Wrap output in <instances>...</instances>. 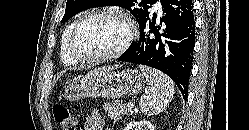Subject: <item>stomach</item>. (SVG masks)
Listing matches in <instances>:
<instances>
[{
  "label": "stomach",
  "mask_w": 249,
  "mask_h": 130,
  "mask_svg": "<svg viewBox=\"0 0 249 130\" xmlns=\"http://www.w3.org/2000/svg\"><path fill=\"white\" fill-rule=\"evenodd\" d=\"M144 85V76L135 69L97 71L69 82L62 95L70 101L86 97L114 99L137 94Z\"/></svg>",
  "instance_id": "obj_1"
}]
</instances>
